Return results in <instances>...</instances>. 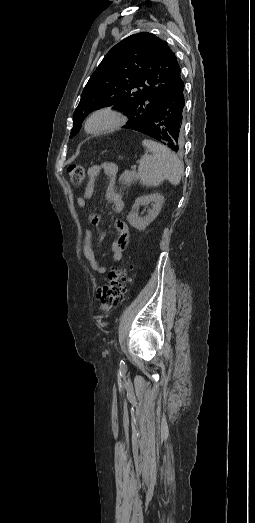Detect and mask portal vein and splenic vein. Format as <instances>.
Wrapping results in <instances>:
<instances>
[{
	"instance_id": "18ae733b",
	"label": "portal vein and splenic vein",
	"mask_w": 255,
	"mask_h": 523,
	"mask_svg": "<svg viewBox=\"0 0 255 523\" xmlns=\"http://www.w3.org/2000/svg\"><path fill=\"white\" fill-rule=\"evenodd\" d=\"M130 172H131L132 174L138 173V168H136V166H133V167L130 169Z\"/></svg>"
}]
</instances>
